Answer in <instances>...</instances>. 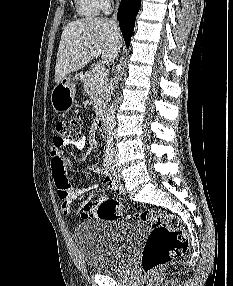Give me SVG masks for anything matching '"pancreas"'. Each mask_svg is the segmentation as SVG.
Segmentation results:
<instances>
[{
  "label": "pancreas",
  "instance_id": "1",
  "mask_svg": "<svg viewBox=\"0 0 233 286\" xmlns=\"http://www.w3.org/2000/svg\"><path fill=\"white\" fill-rule=\"evenodd\" d=\"M96 70L86 71L84 74V89L94 101V108L98 112L105 105L107 99V79L97 80Z\"/></svg>",
  "mask_w": 233,
  "mask_h": 286
}]
</instances>
